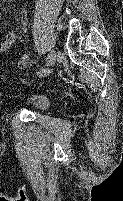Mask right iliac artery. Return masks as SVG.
<instances>
[{"instance_id":"1","label":"right iliac artery","mask_w":123,"mask_h":201,"mask_svg":"<svg viewBox=\"0 0 123 201\" xmlns=\"http://www.w3.org/2000/svg\"><path fill=\"white\" fill-rule=\"evenodd\" d=\"M48 74V70L46 69H41L37 72V75L40 77L46 76Z\"/></svg>"}]
</instances>
